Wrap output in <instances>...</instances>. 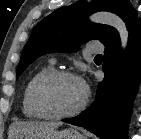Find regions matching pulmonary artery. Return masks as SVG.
<instances>
[{"mask_svg": "<svg viewBox=\"0 0 141 139\" xmlns=\"http://www.w3.org/2000/svg\"><path fill=\"white\" fill-rule=\"evenodd\" d=\"M88 50L92 53H100L104 50L103 46L99 43H90Z\"/></svg>", "mask_w": 141, "mask_h": 139, "instance_id": "pulmonary-artery-1", "label": "pulmonary artery"}]
</instances>
